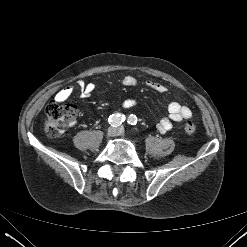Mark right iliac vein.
<instances>
[{"mask_svg": "<svg viewBox=\"0 0 247 247\" xmlns=\"http://www.w3.org/2000/svg\"><path fill=\"white\" fill-rule=\"evenodd\" d=\"M117 133H118V130L114 127H109L107 130V136L108 137H114L117 135Z\"/></svg>", "mask_w": 247, "mask_h": 247, "instance_id": "obj_1", "label": "right iliac vein"}]
</instances>
